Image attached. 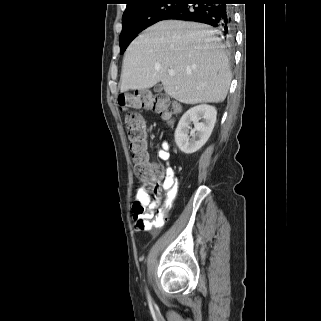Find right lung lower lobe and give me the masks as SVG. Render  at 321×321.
I'll return each mask as SVG.
<instances>
[{
    "mask_svg": "<svg viewBox=\"0 0 321 321\" xmlns=\"http://www.w3.org/2000/svg\"><path fill=\"white\" fill-rule=\"evenodd\" d=\"M232 0H182L180 5L162 17L209 24L231 41L233 33Z\"/></svg>",
    "mask_w": 321,
    "mask_h": 321,
    "instance_id": "1",
    "label": "right lung lower lobe"
}]
</instances>
